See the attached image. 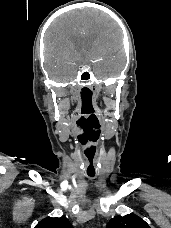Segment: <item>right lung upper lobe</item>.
Instances as JSON below:
<instances>
[{"instance_id": "cb5924a9", "label": "right lung upper lobe", "mask_w": 171, "mask_h": 228, "mask_svg": "<svg viewBox=\"0 0 171 228\" xmlns=\"http://www.w3.org/2000/svg\"><path fill=\"white\" fill-rule=\"evenodd\" d=\"M35 228H73L66 217L46 218L40 221Z\"/></svg>"}]
</instances>
